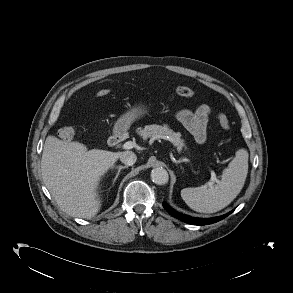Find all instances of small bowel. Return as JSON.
<instances>
[{
    "instance_id": "obj_1",
    "label": "small bowel",
    "mask_w": 293,
    "mask_h": 293,
    "mask_svg": "<svg viewBox=\"0 0 293 293\" xmlns=\"http://www.w3.org/2000/svg\"><path fill=\"white\" fill-rule=\"evenodd\" d=\"M210 108L207 105L199 106L195 111L182 109L176 114L177 120L192 134L197 143L202 144L207 137V123Z\"/></svg>"
}]
</instances>
